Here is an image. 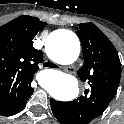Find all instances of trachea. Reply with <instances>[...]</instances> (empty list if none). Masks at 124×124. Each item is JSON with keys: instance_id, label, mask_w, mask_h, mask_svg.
Masks as SVG:
<instances>
[{"instance_id": "1", "label": "trachea", "mask_w": 124, "mask_h": 124, "mask_svg": "<svg viewBox=\"0 0 124 124\" xmlns=\"http://www.w3.org/2000/svg\"><path fill=\"white\" fill-rule=\"evenodd\" d=\"M46 66H47V67H54V64H52V63H50V62H47V63H46Z\"/></svg>"}]
</instances>
